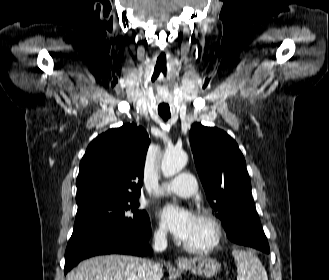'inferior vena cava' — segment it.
<instances>
[{
  "label": "inferior vena cava",
  "mask_w": 329,
  "mask_h": 280,
  "mask_svg": "<svg viewBox=\"0 0 329 280\" xmlns=\"http://www.w3.org/2000/svg\"><path fill=\"white\" fill-rule=\"evenodd\" d=\"M167 248L166 233L158 231L154 234V246L153 249L156 252H162ZM160 264L153 261L144 260L139 272L140 280H156V272L160 268Z\"/></svg>",
  "instance_id": "602c4592"
}]
</instances>
